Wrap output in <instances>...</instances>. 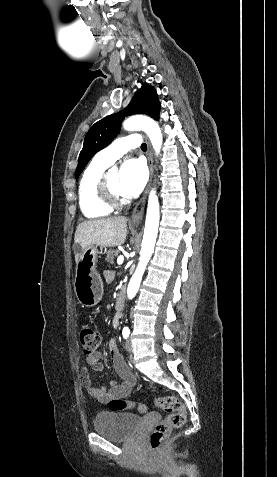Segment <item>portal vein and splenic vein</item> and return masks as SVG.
I'll use <instances>...</instances> for the list:
<instances>
[{"mask_svg": "<svg viewBox=\"0 0 277 477\" xmlns=\"http://www.w3.org/2000/svg\"><path fill=\"white\" fill-rule=\"evenodd\" d=\"M124 261V256L123 255H119L118 258H117V264L118 265H121Z\"/></svg>", "mask_w": 277, "mask_h": 477, "instance_id": "portal-vein-and-splenic-vein-1", "label": "portal vein and splenic vein"}]
</instances>
